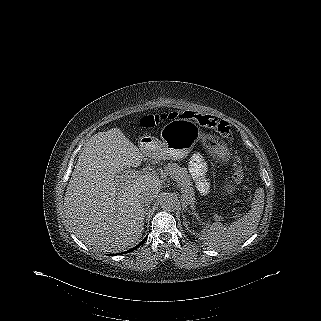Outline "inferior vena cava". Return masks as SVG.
Wrapping results in <instances>:
<instances>
[{"mask_svg":"<svg viewBox=\"0 0 321 321\" xmlns=\"http://www.w3.org/2000/svg\"><path fill=\"white\" fill-rule=\"evenodd\" d=\"M155 197V192L152 189L144 188L140 194V202L144 206H148L152 203Z\"/></svg>","mask_w":321,"mask_h":321,"instance_id":"obj_1","label":"inferior vena cava"}]
</instances>
